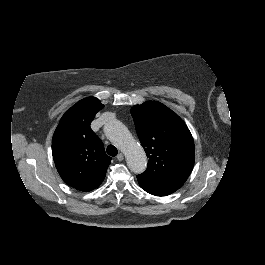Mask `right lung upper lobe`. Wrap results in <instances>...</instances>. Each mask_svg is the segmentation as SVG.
Segmentation results:
<instances>
[{
    "label": "right lung upper lobe",
    "instance_id": "cb5924a9",
    "mask_svg": "<svg viewBox=\"0 0 265 265\" xmlns=\"http://www.w3.org/2000/svg\"><path fill=\"white\" fill-rule=\"evenodd\" d=\"M103 104L95 97L80 100L62 116L52 140L53 159L63 181L91 191L104 180L111 157L90 124Z\"/></svg>",
    "mask_w": 265,
    "mask_h": 265
}]
</instances>
